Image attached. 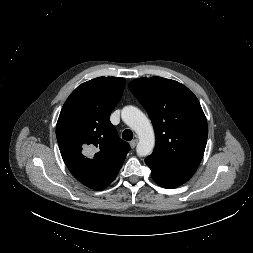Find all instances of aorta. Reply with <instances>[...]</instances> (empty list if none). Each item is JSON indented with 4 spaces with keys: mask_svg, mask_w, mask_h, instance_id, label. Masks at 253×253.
<instances>
[{
    "mask_svg": "<svg viewBox=\"0 0 253 253\" xmlns=\"http://www.w3.org/2000/svg\"><path fill=\"white\" fill-rule=\"evenodd\" d=\"M121 118L138 135L137 155H150L155 145V134L147 116L135 106H126L121 111Z\"/></svg>",
    "mask_w": 253,
    "mask_h": 253,
    "instance_id": "1",
    "label": "aorta"
}]
</instances>
